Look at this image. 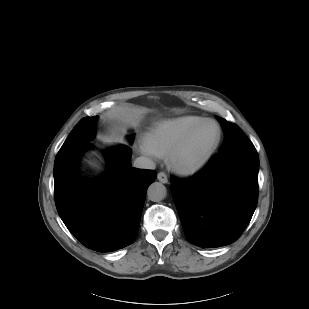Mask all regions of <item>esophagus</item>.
I'll return each instance as SVG.
<instances>
[{"mask_svg": "<svg viewBox=\"0 0 309 309\" xmlns=\"http://www.w3.org/2000/svg\"><path fill=\"white\" fill-rule=\"evenodd\" d=\"M157 179L162 183H168V177L164 172H159L157 174Z\"/></svg>", "mask_w": 309, "mask_h": 309, "instance_id": "1", "label": "esophagus"}]
</instances>
